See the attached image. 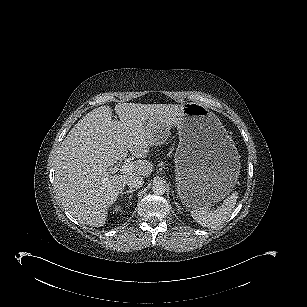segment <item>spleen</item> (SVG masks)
<instances>
[{
  "label": "spleen",
  "instance_id": "3e777b00",
  "mask_svg": "<svg viewBox=\"0 0 307 307\" xmlns=\"http://www.w3.org/2000/svg\"><path fill=\"white\" fill-rule=\"evenodd\" d=\"M237 198L238 193L235 191L217 209H211L208 204L193 206L190 211L191 216L203 227L216 228L229 218L236 205Z\"/></svg>",
  "mask_w": 307,
  "mask_h": 307
}]
</instances>
